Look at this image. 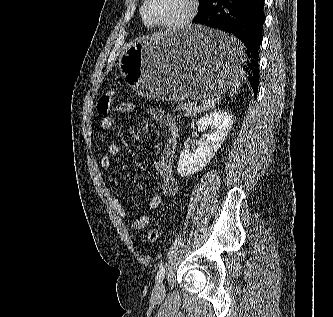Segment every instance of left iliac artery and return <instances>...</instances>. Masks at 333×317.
<instances>
[{"label":"left iliac artery","instance_id":"44dca946","mask_svg":"<svg viewBox=\"0 0 333 317\" xmlns=\"http://www.w3.org/2000/svg\"><path fill=\"white\" fill-rule=\"evenodd\" d=\"M165 273H166L165 266H161L156 275V282H161L165 277Z\"/></svg>","mask_w":333,"mask_h":317}]
</instances>
